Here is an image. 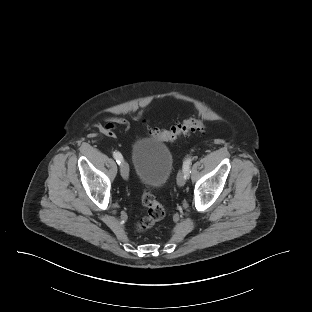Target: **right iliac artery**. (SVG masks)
<instances>
[{"mask_svg":"<svg viewBox=\"0 0 312 312\" xmlns=\"http://www.w3.org/2000/svg\"><path fill=\"white\" fill-rule=\"evenodd\" d=\"M113 157L115 158V160H116V162H117L118 164H120V163L123 161V157H122L121 153L118 152V151H115V152L113 153Z\"/></svg>","mask_w":312,"mask_h":312,"instance_id":"right-iliac-artery-1","label":"right iliac artery"}]
</instances>
